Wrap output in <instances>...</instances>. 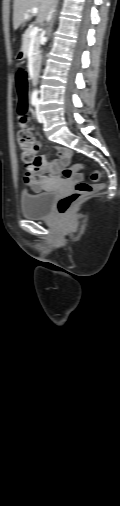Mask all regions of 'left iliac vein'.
<instances>
[{"label":"left iliac vein","instance_id":"1","mask_svg":"<svg viewBox=\"0 0 120 506\" xmlns=\"http://www.w3.org/2000/svg\"><path fill=\"white\" fill-rule=\"evenodd\" d=\"M39 104H40V101L38 100V102L36 104V117H37V120L42 123V122H44V117L40 112V105Z\"/></svg>","mask_w":120,"mask_h":506}]
</instances>
